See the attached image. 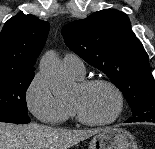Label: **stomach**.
Listing matches in <instances>:
<instances>
[{
    "label": "stomach",
    "instance_id": "stomach-1",
    "mask_svg": "<svg viewBox=\"0 0 155 149\" xmlns=\"http://www.w3.org/2000/svg\"><path fill=\"white\" fill-rule=\"evenodd\" d=\"M89 149H138V147L130 132L119 127H108L91 139Z\"/></svg>",
    "mask_w": 155,
    "mask_h": 149
}]
</instances>
